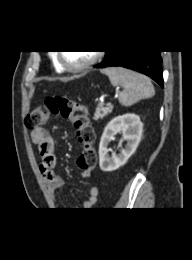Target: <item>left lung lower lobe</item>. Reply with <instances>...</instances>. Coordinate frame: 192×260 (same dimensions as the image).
I'll return each instance as SVG.
<instances>
[{"instance_id":"1","label":"left lung lower lobe","mask_w":192,"mask_h":260,"mask_svg":"<svg viewBox=\"0 0 192 260\" xmlns=\"http://www.w3.org/2000/svg\"><path fill=\"white\" fill-rule=\"evenodd\" d=\"M121 66L141 72L163 87L162 58L159 50L108 51L95 68Z\"/></svg>"}]
</instances>
